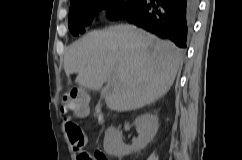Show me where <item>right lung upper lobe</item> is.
<instances>
[{"label":"right lung upper lobe","instance_id":"right-lung-upper-lobe-1","mask_svg":"<svg viewBox=\"0 0 242 160\" xmlns=\"http://www.w3.org/2000/svg\"><path fill=\"white\" fill-rule=\"evenodd\" d=\"M79 1H82V0H71L70 5H72V4L76 3V2H79Z\"/></svg>","mask_w":242,"mask_h":160}]
</instances>
